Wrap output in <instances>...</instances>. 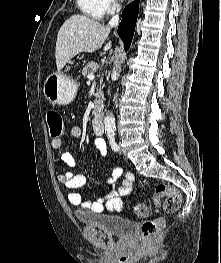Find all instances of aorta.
<instances>
[{
  "label": "aorta",
  "mask_w": 221,
  "mask_h": 263,
  "mask_svg": "<svg viewBox=\"0 0 221 263\" xmlns=\"http://www.w3.org/2000/svg\"><path fill=\"white\" fill-rule=\"evenodd\" d=\"M120 75V66H116V68H114L112 75H111V79L112 80H116ZM104 126H105V133H107L108 135H114L115 133V118L113 116V113L108 112L106 113V116L104 118Z\"/></svg>",
  "instance_id": "obj_1"
}]
</instances>
